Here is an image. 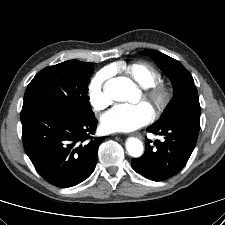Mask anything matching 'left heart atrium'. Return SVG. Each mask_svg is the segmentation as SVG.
I'll return each mask as SVG.
<instances>
[{
    "label": "left heart atrium",
    "instance_id": "1",
    "mask_svg": "<svg viewBox=\"0 0 225 225\" xmlns=\"http://www.w3.org/2000/svg\"><path fill=\"white\" fill-rule=\"evenodd\" d=\"M154 116L146 102L118 104L102 117V126L108 132H129L149 123Z\"/></svg>",
    "mask_w": 225,
    "mask_h": 225
}]
</instances>
